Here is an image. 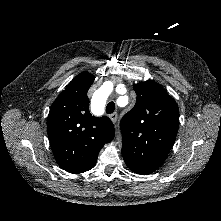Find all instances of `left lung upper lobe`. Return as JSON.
Returning a JSON list of instances; mask_svg holds the SVG:
<instances>
[{
  "label": "left lung upper lobe",
  "mask_w": 221,
  "mask_h": 221,
  "mask_svg": "<svg viewBox=\"0 0 221 221\" xmlns=\"http://www.w3.org/2000/svg\"><path fill=\"white\" fill-rule=\"evenodd\" d=\"M133 88L135 106L121 120L122 155L130 170L147 175L163 164L175 142L179 109L154 81Z\"/></svg>",
  "instance_id": "obj_1"
}]
</instances>
